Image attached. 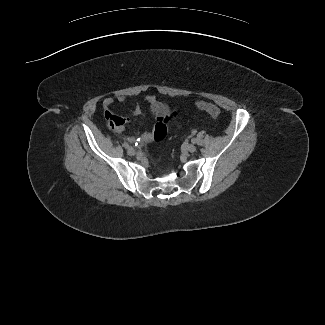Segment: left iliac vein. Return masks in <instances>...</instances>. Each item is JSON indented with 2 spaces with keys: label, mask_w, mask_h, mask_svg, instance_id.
<instances>
[{
  "label": "left iliac vein",
  "mask_w": 325,
  "mask_h": 325,
  "mask_svg": "<svg viewBox=\"0 0 325 325\" xmlns=\"http://www.w3.org/2000/svg\"><path fill=\"white\" fill-rule=\"evenodd\" d=\"M187 150H188L189 152L193 153V152L196 151V147H195V145H193V144H189V145L187 146Z\"/></svg>",
  "instance_id": "4c4485c4"
}]
</instances>
